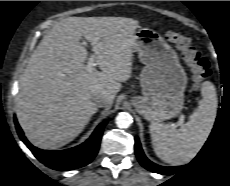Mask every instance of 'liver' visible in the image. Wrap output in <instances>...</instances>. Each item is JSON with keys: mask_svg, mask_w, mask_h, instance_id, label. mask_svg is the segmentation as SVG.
Returning a JSON list of instances; mask_svg holds the SVG:
<instances>
[{"mask_svg": "<svg viewBox=\"0 0 230 186\" xmlns=\"http://www.w3.org/2000/svg\"><path fill=\"white\" fill-rule=\"evenodd\" d=\"M137 20L68 17L53 26L33 52L20 80L15 109L27 139L45 150L74 140L97 112L104 95L110 109L121 82L131 77ZM101 71L86 70L87 50Z\"/></svg>", "mask_w": 230, "mask_h": 186, "instance_id": "obj_1", "label": "liver"}]
</instances>
